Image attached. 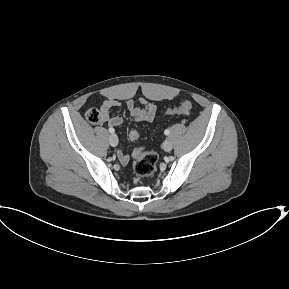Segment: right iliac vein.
Returning <instances> with one entry per match:
<instances>
[{"mask_svg":"<svg viewBox=\"0 0 289 289\" xmlns=\"http://www.w3.org/2000/svg\"><path fill=\"white\" fill-rule=\"evenodd\" d=\"M109 142H110V145L115 147L117 146L118 144V137L116 136V134H111L110 137H109Z\"/></svg>","mask_w":289,"mask_h":289,"instance_id":"right-iliac-vein-1","label":"right iliac vein"}]
</instances>
